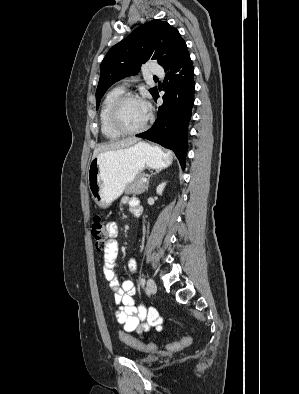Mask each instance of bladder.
I'll list each match as a JSON object with an SVG mask.
<instances>
[{"label":"bladder","instance_id":"obj_1","mask_svg":"<svg viewBox=\"0 0 299 394\" xmlns=\"http://www.w3.org/2000/svg\"><path fill=\"white\" fill-rule=\"evenodd\" d=\"M157 357L154 355H150V354H146V355H141L137 358V361L141 364H152L154 362H156Z\"/></svg>","mask_w":299,"mask_h":394}]
</instances>
